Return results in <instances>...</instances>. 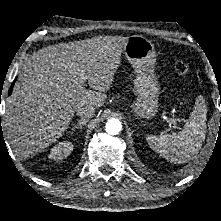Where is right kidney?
Wrapping results in <instances>:
<instances>
[{
	"mask_svg": "<svg viewBox=\"0 0 221 221\" xmlns=\"http://www.w3.org/2000/svg\"><path fill=\"white\" fill-rule=\"evenodd\" d=\"M72 150H73V145L71 142L68 141L60 142L57 145H55L53 148H51L48 157L50 159L59 161L67 158Z\"/></svg>",
	"mask_w": 221,
	"mask_h": 221,
	"instance_id": "1",
	"label": "right kidney"
}]
</instances>
